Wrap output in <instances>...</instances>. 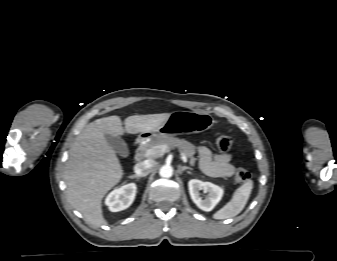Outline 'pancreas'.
Returning a JSON list of instances; mask_svg holds the SVG:
<instances>
[{
    "label": "pancreas",
    "mask_w": 337,
    "mask_h": 261,
    "mask_svg": "<svg viewBox=\"0 0 337 261\" xmlns=\"http://www.w3.org/2000/svg\"><path fill=\"white\" fill-rule=\"evenodd\" d=\"M167 145L169 149L178 148L180 151H183L187 158H189L190 165H194L196 162V158L194 157L196 147L190 142L184 139H178L172 136H163L156 137L152 139L145 145L140 147V152L144 154L148 149L153 148L155 146ZM160 154L153 155L151 157H158Z\"/></svg>",
    "instance_id": "1"
}]
</instances>
